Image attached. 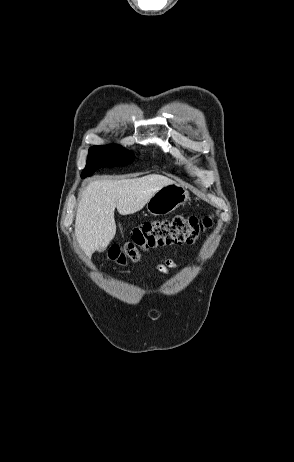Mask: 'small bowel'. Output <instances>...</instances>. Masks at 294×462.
Segmentation results:
<instances>
[{"instance_id": "small-bowel-1", "label": "small bowel", "mask_w": 294, "mask_h": 462, "mask_svg": "<svg viewBox=\"0 0 294 462\" xmlns=\"http://www.w3.org/2000/svg\"><path fill=\"white\" fill-rule=\"evenodd\" d=\"M175 267H176L175 262L170 259H166L164 262L156 265V269L165 275H167L169 271Z\"/></svg>"}]
</instances>
